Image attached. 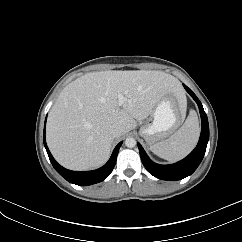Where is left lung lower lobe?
I'll return each mask as SVG.
<instances>
[{
    "label": "left lung lower lobe",
    "mask_w": 242,
    "mask_h": 242,
    "mask_svg": "<svg viewBox=\"0 0 242 242\" xmlns=\"http://www.w3.org/2000/svg\"><path fill=\"white\" fill-rule=\"evenodd\" d=\"M183 86L198 104L201 115V135L196 148L186 158L175 164L159 165L152 162L142 146L138 144L143 165L150 174L161 180H181L191 175L201 163L209 140L208 119L206 113L204 112L203 106L196 95L186 85L183 84Z\"/></svg>",
    "instance_id": "0a47b994"
}]
</instances>
